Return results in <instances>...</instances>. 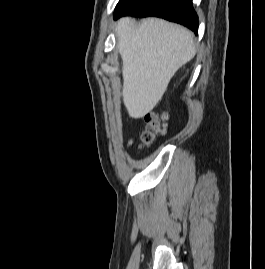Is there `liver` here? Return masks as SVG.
Segmentation results:
<instances>
[{"mask_svg": "<svg viewBox=\"0 0 265 269\" xmlns=\"http://www.w3.org/2000/svg\"><path fill=\"white\" fill-rule=\"evenodd\" d=\"M123 61V102L132 118L149 113L162 98L177 70L196 54L193 34L163 19L137 24L131 17L116 25Z\"/></svg>", "mask_w": 265, "mask_h": 269, "instance_id": "obj_1", "label": "liver"}]
</instances>
